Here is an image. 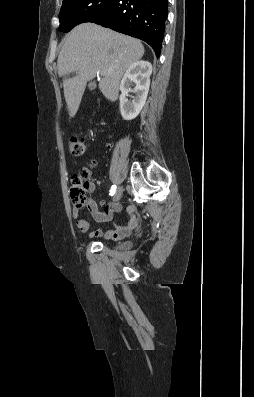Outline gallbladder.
<instances>
[{
    "label": "gallbladder",
    "instance_id": "gallbladder-1",
    "mask_svg": "<svg viewBox=\"0 0 254 397\" xmlns=\"http://www.w3.org/2000/svg\"><path fill=\"white\" fill-rule=\"evenodd\" d=\"M95 87H96L95 83H91V84L89 85V89H90V90L95 89Z\"/></svg>",
    "mask_w": 254,
    "mask_h": 397
}]
</instances>
